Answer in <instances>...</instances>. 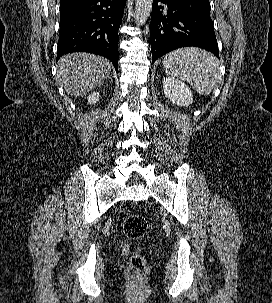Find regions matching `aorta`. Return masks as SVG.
I'll return each mask as SVG.
<instances>
[{
	"instance_id": "obj_1",
	"label": "aorta",
	"mask_w": 272,
	"mask_h": 303,
	"mask_svg": "<svg viewBox=\"0 0 272 303\" xmlns=\"http://www.w3.org/2000/svg\"><path fill=\"white\" fill-rule=\"evenodd\" d=\"M153 0H135V23L142 26L150 16Z\"/></svg>"
}]
</instances>
